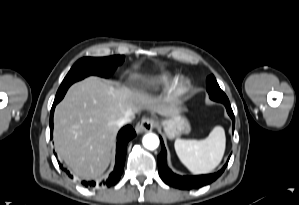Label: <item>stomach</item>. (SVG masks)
<instances>
[{
    "mask_svg": "<svg viewBox=\"0 0 299 205\" xmlns=\"http://www.w3.org/2000/svg\"><path fill=\"white\" fill-rule=\"evenodd\" d=\"M165 134L168 138L172 139L179 136L182 133H188L190 131V124L188 120L177 114L162 122Z\"/></svg>",
    "mask_w": 299,
    "mask_h": 205,
    "instance_id": "1",
    "label": "stomach"
}]
</instances>
